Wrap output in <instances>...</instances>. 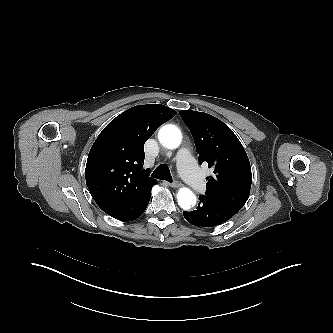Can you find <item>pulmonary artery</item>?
<instances>
[{
	"label": "pulmonary artery",
	"mask_w": 333,
	"mask_h": 333,
	"mask_svg": "<svg viewBox=\"0 0 333 333\" xmlns=\"http://www.w3.org/2000/svg\"><path fill=\"white\" fill-rule=\"evenodd\" d=\"M176 161L181 175L189 185L197 192L204 191L205 181L190 151L186 148L180 149L177 153Z\"/></svg>",
	"instance_id": "pulmonary-artery-1"
}]
</instances>
